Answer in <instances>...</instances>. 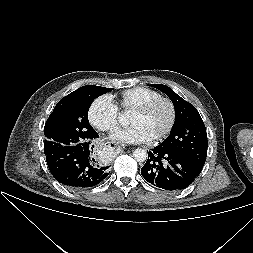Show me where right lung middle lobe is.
Here are the masks:
<instances>
[{
	"label": "right lung middle lobe",
	"mask_w": 253,
	"mask_h": 253,
	"mask_svg": "<svg viewBox=\"0 0 253 253\" xmlns=\"http://www.w3.org/2000/svg\"><path fill=\"white\" fill-rule=\"evenodd\" d=\"M111 90L112 88L87 85L63 97L44 127L45 154L92 139L95 130L88 121L89 107L96 97Z\"/></svg>",
	"instance_id": "dd1d6c3e"
}]
</instances>
